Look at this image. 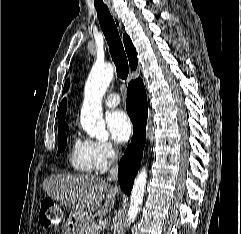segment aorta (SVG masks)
<instances>
[{
    "label": "aorta",
    "mask_w": 241,
    "mask_h": 234,
    "mask_svg": "<svg viewBox=\"0 0 241 234\" xmlns=\"http://www.w3.org/2000/svg\"><path fill=\"white\" fill-rule=\"evenodd\" d=\"M113 75L114 68L110 63L95 64L87 78L80 122L82 128L90 137L107 139L109 136L102 116L101 101L112 81ZM146 182L147 171L145 167H142L135 179L130 196L127 214L128 226L135 221L141 208Z\"/></svg>",
    "instance_id": "obj_1"
}]
</instances>
